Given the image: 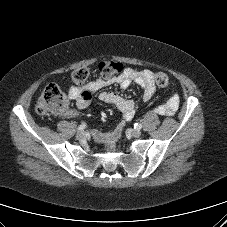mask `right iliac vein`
Instances as JSON below:
<instances>
[{
	"mask_svg": "<svg viewBox=\"0 0 227 227\" xmlns=\"http://www.w3.org/2000/svg\"><path fill=\"white\" fill-rule=\"evenodd\" d=\"M76 138L79 140V141H82L86 138V133L84 131H79L77 134H76Z\"/></svg>",
	"mask_w": 227,
	"mask_h": 227,
	"instance_id": "obj_1",
	"label": "right iliac vein"
}]
</instances>
